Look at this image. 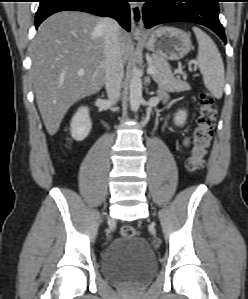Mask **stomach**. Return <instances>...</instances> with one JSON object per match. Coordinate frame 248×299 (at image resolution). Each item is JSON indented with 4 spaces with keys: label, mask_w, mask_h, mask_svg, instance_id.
I'll list each match as a JSON object with an SVG mask.
<instances>
[{
    "label": "stomach",
    "mask_w": 248,
    "mask_h": 299,
    "mask_svg": "<svg viewBox=\"0 0 248 299\" xmlns=\"http://www.w3.org/2000/svg\"><path fill=\"white\" fill-rule=\"evenodd\" d=\"M145 47L154 54L168 60L183 58L192 48L190 35L185 31L162 26L149 33Z\"/></svg>",
    "instance_id": "1"
}]
</instances>
